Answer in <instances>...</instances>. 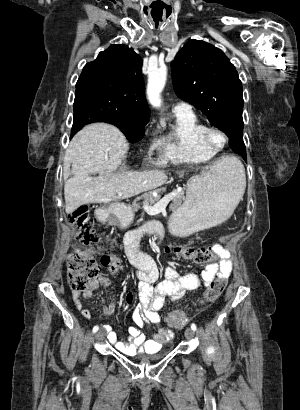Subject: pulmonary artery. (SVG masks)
<instances>
[{"label": "pulmonary artery", "mask_w": 300, "mask_h": 410, "mask_svg": "<svg viewBox=\"0 0 300 410\" xmlns=\"http://www.w3.org/2000/svg\"><path fill=\"white\" fill-rule=\"evenodd\" d=\"M175 111H191V106L185 102H178L175 107Z\"/></svg>", "instance_id": "pulmonary-artery-1"}]
</instances>
